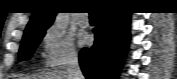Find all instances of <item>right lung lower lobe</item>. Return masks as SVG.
Wrapping results in <instances>:
<instances>
[{"instance_id":"1","label":"right lung lower lobe","mask_w":177,"mask_h":79,"mask_svg":"<svg viewBox=\"0 0 177 79\" xmlns=\"http://www.w3.org/2000/svg\"><path fill=\"white\" fill-rule=\"evenodd\" d=\"M130 14L101 11L92 48L79 54L81 69L87 79H116L130 40Z\"/></svg>"}]
</instances>
